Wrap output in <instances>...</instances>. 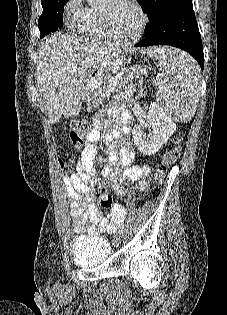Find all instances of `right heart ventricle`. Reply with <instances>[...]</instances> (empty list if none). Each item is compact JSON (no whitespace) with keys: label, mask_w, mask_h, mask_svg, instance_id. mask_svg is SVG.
<instances>
[{"label":"right heart ventricle","mask_w":227,"mask_h":315,"mask_svg":"<svg viewBox=\"0 0 227 315\" xmlns=\"http://www.w3.org/2000/svg\"><path fill=\"white\" fill-rule=\"evenodd\" d=\"M75 22L77 31L85 37H110L103 25L101 11L97 8H86L85 12Z\"/></svg>","instance_id":"e07e8e85"}]
</instances>
